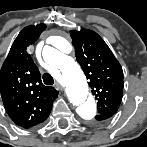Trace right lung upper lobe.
I'll use <instances>...</instances> for the list:
<instances>
[{
    "mask_svg": "<svg viewBox=\"0 0 147 147\" xmlns=\"http://www.w3.org/2000/svg\"><path fill=\"white\" fill-rule=\"evenodd\" d=\"M45 24L25 27L15 39L0 70L4 107L14 123L31 128L45 121L58 91L44 86L40 72L26 49L45 30Z\"/></svg>",
    "mask_w": 147,
    "mask_h": 147,
    "instance_id": "cb5924a9",
    "label": "right lung upper lobe"
}]
</instances>
